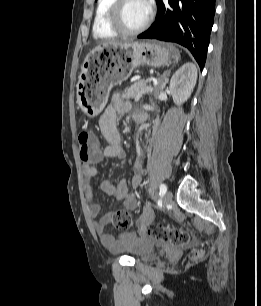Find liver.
<instances>
[{
    "label": "liver",
    "instance_id": "obj_1",
    "mask_svg": "<svg viewBox=\"0 0 261 306\" xmlns=\"http://www.w3.org/2000/svg\"><path fill=\"white\" fill-rule=\"evenodd\" d=\"M108 45H113V46H118V45H122L119 42H107V43H103V46H108Z\"/></svg>",
    "mask_w": 261,
    "mask_h": 306
}]
</instances>
